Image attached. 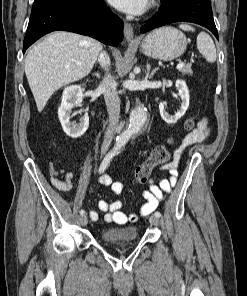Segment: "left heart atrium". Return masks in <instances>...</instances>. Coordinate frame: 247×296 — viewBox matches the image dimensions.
Here are the masks:
<instances>
[{
	"label": "left heart atrium",
	"instance_id": "1",
	"mask_svg": "<svg viewBox=\"0 0 247 296\" xmlns=\"http://www.w3.org/2000/svg\"><path fill=\"white\" fill-rule=\"evenodd\" d=\"M109 3L120 11L139 15L142 14L149 5V0H108Z\"/></svg>",
	"mask_w": 247,
	"mask_h": 296
}]
</instances>
